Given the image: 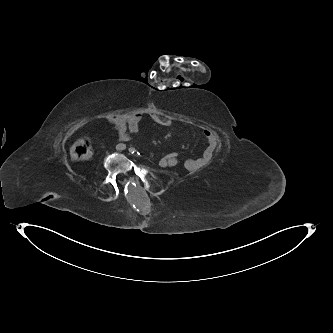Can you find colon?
<instances>
[{"mask_svg": "<svg viewBox=\"0 0 333 333\" xmlns=\"http://www.w3.org/2000/svg\"><path fill=\"white\" fill-rule=\"evenodd\" d=\"M71 158L74 161L88 160L92 156V146L87 138H81L77 140L70 150ZM179 151L169 152L160 159V163L164 164L165 161H172L173 157H178Z\"/></svg>", "mask_w": 333, "mask_h": 333, "instance_id": "colon-1", "label": "colon"}]
</instances>
